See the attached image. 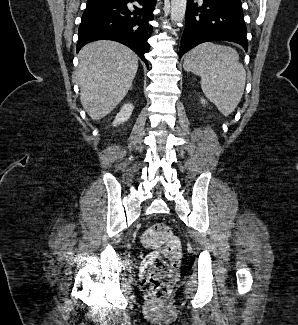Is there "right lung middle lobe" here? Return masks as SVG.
Instances as JSON below:
<instances>
[{
	"instance_id": "dd1d6c3e",
	"label": "right lung middle lobe",
	"mask_w": 298,
	"mask_h": 325,
	"mask_svg": "<svg viewBox=\"0 0 298 325\" xmlns=\"http://www.w3.org/2000/svg\"><path fill=\"white\" fill-rule=\"evenodd\" d=\"M101 1H105V0H87V3H92V2H101Z\"/></svg>"
}]
</instances>
